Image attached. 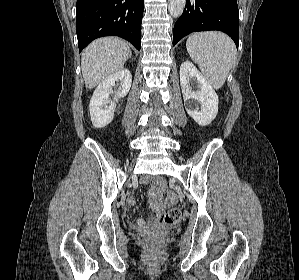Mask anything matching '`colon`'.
Instances as JSON below:
<instances>
[{
    "mask_svg": "<svg viewBox=\"0 0 299 280\" xmlns=\"http://www.w3.org/2000/svg\"><path fill=\"white\" fill-rule=\"evenodd\" d=\"M181 216L182 213L179 208L176 207L170 208L161 216L160 222L164 226H171L178 223L181 219ZM155 239H156V235L152 234L151 241L153 244L155 243Z\"/></svg>",
    "mask_w": 299,
    "mask_h": 280,
    "instance_id": "1",
    "label": "colon"
}]
</instances>
